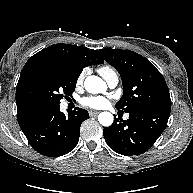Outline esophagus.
Returning <instances> with one entry per match:
<instances>
[{
  "instance_id": "esophagus-1",
  "label": "esophagus",
  "mask_w": 193,
  "mask_h": 193,
  "mask_svg": "<svg viewBox=\"0 0 193 193\" xmlns=\"http://www.w3.org/2000/svg\"><path fill=\"white\" fill-rule=\"evenodd\" d=\"M98 114H99L98 111H90L89 112L90 117H96Z\"/></svg>"
}]
</instances>
